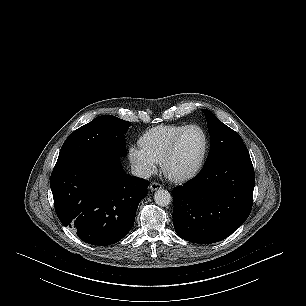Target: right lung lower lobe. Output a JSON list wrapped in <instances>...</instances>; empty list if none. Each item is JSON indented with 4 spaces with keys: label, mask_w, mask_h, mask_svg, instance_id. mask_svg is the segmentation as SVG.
<instances>
[{
    "label": "right lung lower lobe",
    "mask_w": 306,
    "mask_h": 306,
    "mask_svg": "<svg viewBox=\"0 0 306 306\" xmlns=\"http://www.w3.org/2000/svg\"><path fill=\"white\" fill-rule=\"evenodd\" d=\"M149 182L127 175L119 156H81L51 174L55 211L84 242L106 246L125 237L134 224Z\"/></svg>",
    "instance_id": "right-lung-lower-lobe-1"
}]
</instances>
